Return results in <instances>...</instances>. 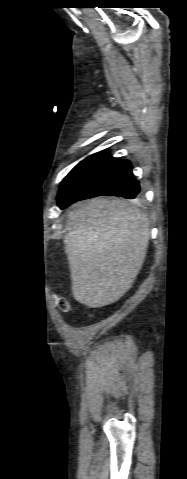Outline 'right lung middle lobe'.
<instances>
[{
    "instance_id": "1",
    "label": "right lung middle lobe",
    "mask_w": 187,
    "mask_h": 479,
    "mask_svg": "<svg viewBox=\"0 0 187 479\" xmlns=\"http://www.w3.org/2000/svg\"><path fill=\"white\" fill-rule=\"evenodd\" d=\"M106 156H108L107 153H96L93 154L89 157H87L85 160L81 161L75 168L72 169V171L65 177V179L62 182V185L59 189V193L57 196V199H59L64 192L80 177L82 176L85 172H87L90 168H92L95 164L100 162L102 159H104Z\"/></svg>"
}]
</instances>
